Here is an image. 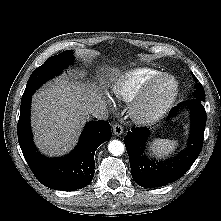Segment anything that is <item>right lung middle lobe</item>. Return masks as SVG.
Wrapping results in <instances>:
<instances>
[{
    "label": "right lung middle lobe",
    "mask_w": 221,
    "mask_h": 221,
    "mask_svg": "<svg viewBox=\"0 0 221 221\" xmlns=\"http://www.w3.org/2000/svg\"><path fill=\"white\" fill-rule=\"evenodd\" d=\"M72 62V50H67L59 55L49 57L43 65L31 74L21 100L31 96L40 85L61 73L62 70Z\"/></svg>",
    "instance_id": "obj_1"
}]
</instances>
